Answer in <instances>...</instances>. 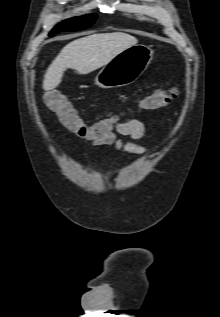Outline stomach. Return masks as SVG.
<instances>
[{
	"mask_svg": "<svg viewBox=\"0 0 220 317\" xmlns=\"http://www.w3.org/2000/svg\"><path fill=\"white\" fill-rule=\"evenodd\" d=\"M153 51L145 45H133L99 71L95 84L102 88H114L134 83L151 63Z\"/></svg>",
	"mask_w": 220,
	"mask_h": 317,
	"instance_id": "1",
	"label": "stomach"
}]
</instances>
